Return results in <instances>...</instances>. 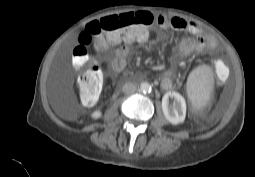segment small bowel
<instances>
[{"label": "small bowel", "mask_w": 255, "mask_h": 177, "mask_svg": "<svg viewBox=\"0 0 255 177\" xmlns=\"http://www.w3.org/2000/svg\"><path fill=\"white\" fill-rule=\"evenodd\" d=\"M160 19L163 21V27H171L177 31L187 32L194 35V38H187L182 40L178 44V50L183 55H189L193 53H201L206 50L214 51L216 48V41L213 37L207 35L205 31L195 22L180 17H173L169 15H161ZM139 43L150 42L156 44L158 40L156 38L151 39L148 32L136 40ZM102 50H105V46H100ZM129 53L128 45L125 43L115 49L114 57L111 60L110 67L114 73L121 72L127 63V56ZM217 71H223L224 67L221 64H216ZM172 80L170 75H166L161 81V87L164 90L172 88Z\"/></svg>", "instance_id": "1"}]
</instances>
